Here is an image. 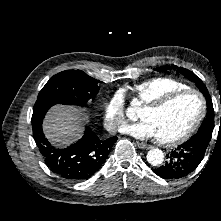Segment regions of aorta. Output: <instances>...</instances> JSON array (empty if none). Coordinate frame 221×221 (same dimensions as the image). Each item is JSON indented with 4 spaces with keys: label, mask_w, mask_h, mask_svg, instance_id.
Returning <instances> with one entry per match:
<instances>
[{
    "label": "aorta",
    "mask_w": 221,
    "mask_h": 221,
    "mask_svg": "<svg viewBox=\"0 0 221 221\" xmlns=\"http://www.w3.org/2000/svg\"><path fill=\"white\" fill-rule=\"evenodd\" d=\"M164 160V153L162 150L158 148H154L148 151L147 153V161L152 166H159L163 163Z\"/></svg>",
    "instance_id": "aorta-1"
}]
</instances>
